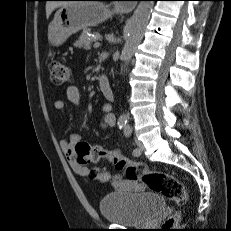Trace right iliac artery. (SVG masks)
Instances as JSON below:
<instances>
[{
  "label": "right iliac artery",
  "mask_w": 231,
  "mask_h": 231,
  "mask_svg": "<svg viewBox=\"0 0 231 231\" xmlns=\"http://www.w3.org/2000/svg\"><path fill=\"white\" fill-rule=\"evenodd\" d=\"M126 123H127L126 120H122V119L119 120V121H118V126H119V128L122 129L123 127H125V126H126Z\"/></svg>",
  "instance_id": "obj_1"
}]
</instances>
